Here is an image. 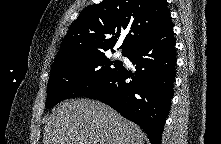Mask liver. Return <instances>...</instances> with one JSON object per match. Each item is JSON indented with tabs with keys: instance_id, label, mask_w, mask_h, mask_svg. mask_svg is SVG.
<instances>
[{
	"instance_id": "6515ba94",
	"label": "liver",
	"mask_w": 221,
	"mask_h": 144,
	"mask_svg": "<svg viewBox=\"0 0 221 144\" xmlns=\"http://www.w3.org/2000/svg\"><path fill=\"white\" fill-rule=\"evenodd\" d=\"M44 131V144H144V133L137 125L89 99L60 103Z\"/></svg>"
}]
</instances>
